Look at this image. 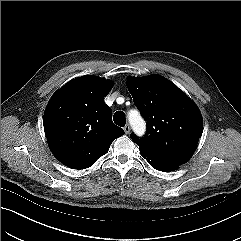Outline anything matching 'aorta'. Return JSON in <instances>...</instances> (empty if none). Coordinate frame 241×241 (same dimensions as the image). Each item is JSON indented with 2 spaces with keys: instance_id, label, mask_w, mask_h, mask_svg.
I'll return each instance as SVG.
<instances>
[{
  "instance_id": "aorta-1",
  "label": "aorta",
  "mask_w": 241,
  "mask_h": 241,
  "mask_svg": "<svg viewBox=\"0 0 241 241\" xmlns=\"http://www.w3.org/2000/svg\"><path fill=\"white\" fill-rule=\"evenodd\" d=\"M129 123L133 129V131L138 135L142 136L146 130L145 121L139 114H132L129 115Z\"/></svg>"
}]
</instances>
